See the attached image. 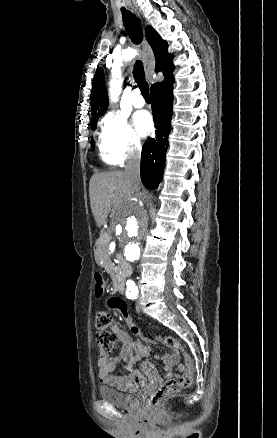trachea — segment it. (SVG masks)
Segmentation results:
<instances>
[{
    "mask_svg": "<svg viewBox=\"0 0 277 438\" xmlns=\"http://www.w3.org/2000/svg\"><path fill=\"white\" fill-rule=\"evenodd\" d=\"M121 12L125 30L127 31L131 42L135 45H139L143 40V30L138 18L125 8H122ZM133 77L140 88L143 97L146 100H150L149 85L145 79L144 67L141 60H137L134 64Z\"/></svg>",
    "mask_w": 277,
    "mask_h": 438,
    "instance_id": "1",
    "label": "trachea"
}]
</instances>
